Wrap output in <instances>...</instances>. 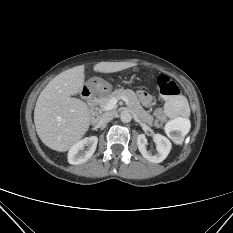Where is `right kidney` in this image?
I'll list each match as a JSON object with an SVG mask.
<instances>
[{
	"label": "right kidney",
	"instance_id": "right-kidney-1",
	"mask_svg": "<svg viewBox=\"0 0 233 233\" xmlns=\"http://www.w3.org/2000/svg\"><path fill=\"white\" fill-rule=\"evenodd\" d=\"M97 143L98 138L96 136L86 137L78 141L68 152V162L72 165L86 162L94 154Z\"/></svg>",
	"mask_w": 233,
	"mask_h": 233
}]
</instances>
